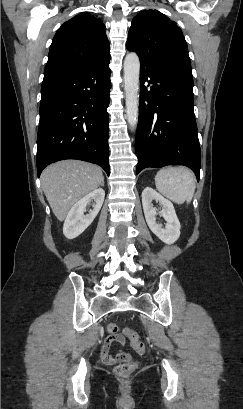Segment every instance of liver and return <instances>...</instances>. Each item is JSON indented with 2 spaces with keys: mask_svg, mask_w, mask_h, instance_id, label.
Wrapping results in <instances>:
<instances>
[{
  "mask_svg": "<svg viewBox=\"0 0 243 409\" xmlns=\"http://www.w3.org/2000/svg\"><path fill=\"white\" fill-rule=\"evenodd\" d=\"M103 179L97 165L78 160L54 163L41 174L44 194L59 221L82 197L97 189Z\"/></svg>",
  "mask_w": 243,
  "mask_h": 409,
  "instance_id": "obj_1",
  "label": "liver"
}]
</instances>
